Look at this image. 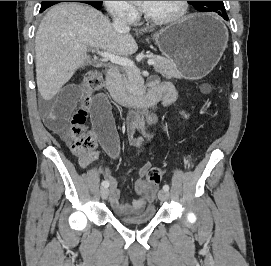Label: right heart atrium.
I'll return each instance as SVG.
<instances>
[{"instance_id": "right-heart-atrium-1", "label": "right heart atrium", "mask_w": 271, "mask_h": 266, "mask_svg": "<svg viewBox=\"0 0 271 266\" xmlns=\"http://www.w3.org/2000/svg\"><path fill=\"white\" fill-rule=\"evenodd\" d=\"M108 13L126 22H134L138 16L137 9L129 1H103Z\"/></svg>"}]
</instances>
